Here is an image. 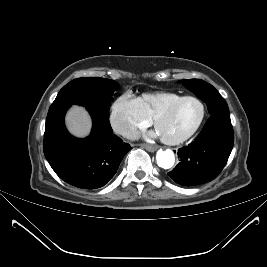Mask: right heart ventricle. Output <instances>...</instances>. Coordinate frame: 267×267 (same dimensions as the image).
Here are the masks:
<instances>
[{"instance_id":"obj_1","label":"right heart ventricle","mask_w":267,"mask_h":267,"mask_svg":"<svg viewBox=\"0 0 267 267\" xmlns=\"http://www.w3.org/2000/svg\"><path fill=\"white\" fill-rule=\"evenodd\" d=\"M182 97V95L175 92L161 91L154 93H144L138 98V100L143 112L150 119H153L154 115L158 111Z\"/></svg>"}]
</instances>
